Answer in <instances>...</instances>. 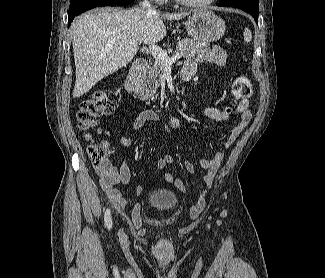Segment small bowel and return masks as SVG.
Listing matches in <instances>:
<instances>
[{
    "label": "small bowel",
    "instance_id": "obj_1",
    "mask_svg": "<svg viewBox=\"0 0 325 278\" xmlns=\"http://www.w3.org/2000/svg\"><path fill=\"white\" fill-rule=\"evenodd\" d=\"M188 69L191 71L190 78L196 73L197 65L193 59H188L183 67V70ZM206 116L215 122V119L222 116L223 112L218 108L208 107L205 109ZM236 115L240 116V121L234 126L232 131L229 133L227 138L224 140L223 145L229 147L247 126L251 119V111L249 108L248 99L241 100L236 108ZM162 118V115L153 110H145L135 114L132 119V132L131 134H126L125 130L122 129L120 132V143L124 147H129L133 142V134L140 130L147 122L158 121ZM166 118V129L169 132L179 130L185 132L181 121L172 114H165ZM228 117L225 116L223 120H227ZM222 120V121H223ZM224 159V154L222 151H217L212 158H205L200 161V166L205 170V175L203 178L204 188L203 193L208 191L211 187L216 173ZM174 161L171 154H166L161 157L157 163L156 167L160 170L167 168ZM186 168L189 172H194V167L191 163L186 162ZM95 172L99 178V183L103 191L105 192L107 198L114 202L117 206L121 208L126 207V201L122 196L121 191L117 188L119 183L128 184L131 179V171L126 160H123L120 166L117 168L113 165L109 158H105L103 163L95 169ZM162 181L168 184H174L179 191H186L185 184L177 177L172 174H164L162 176ZM144 190L143 185H137L135 191L137 194L142 193ZM202 204V201H200Z\"/></svg>",
    "mask_w": 325,
    "mask_h": 278
}]
</instances>
